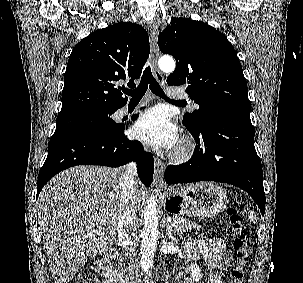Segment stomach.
I'll use <instances>...</instances> for the list:
<instances>
[{
	"label": "stomach",
	"instance_id": "1",
	"mask_svg": "<svg viewBox=\"0 0 303 283\" xmlns=\"http://www.w3.org/2000/svg\"><path fill=\"white\" fill-rule=\"evenodd\" d=\"M227 203L225 190L213 183H196L165 193L166 210L180 215L214 217L226 208Z\"/></svg>",
	"mask_w": 303,
	"mask_h": 283
}]
</instances>
